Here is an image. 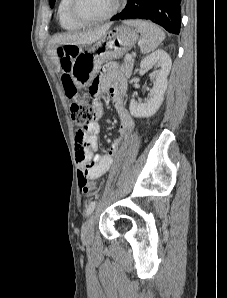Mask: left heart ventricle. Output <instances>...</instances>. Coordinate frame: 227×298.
I'll return each instance as SVG.
<instances>
[{"instance_id": "b2bd125f", "label": "left heart ventricle", "mask_w": 227, "mask_h": 298, "mask_svg": "<svg viewBox=\"0 0 227 298\" xmlns=\"http://www.w3.org/2000/svg\"><path fill=\"white\" fill-rule=\"evenodd\" d=\"M115 0H77L76 12L85 19H97L106 15L114 6Z\"/></svg>"}]
</instances>
